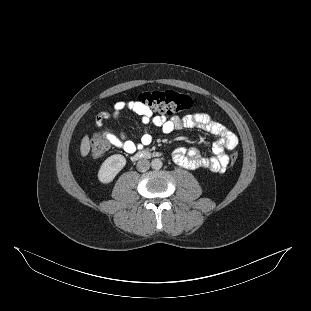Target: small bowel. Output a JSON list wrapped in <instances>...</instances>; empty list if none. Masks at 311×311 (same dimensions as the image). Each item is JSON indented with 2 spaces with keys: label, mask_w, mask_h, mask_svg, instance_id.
<instances>
[{
  "label": "small bowel",
  "mask_w": 311,
  "mask_h": 311,
  "mask_svg": "<svg viewBox=\"0 0 311 311\" xmlns=\"http://www.w3.org/2000/svg\"><path fill=\"white\" fill-rule=\"evenodd\" d=\"M125 110L132 111L140 116L143 130L140 142L136 143L126 137L122 132L118 135L104 132L109 142L116 148L127 153H134L143 146L149 145L153 140V130L162 134H170L182 128H198L217 137L212 147V157L203 156L196 148L179 147L172 153L173 161L187 169H207L215 173H223L229 163L227 150L233 149L237 145L236 135L209 114L198 112L187 115L183 118H166L156 115L145 104L138 100L119 101L114 105L113 113H101L97 116L98 126L102 125V120L120 119Z\"/></svg>",
  "instance_id": "c3829d8e"
}]
</instances>
